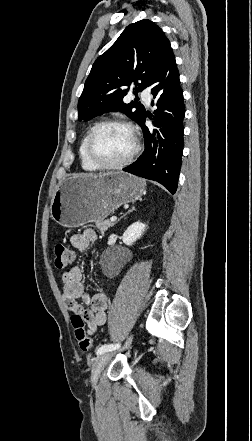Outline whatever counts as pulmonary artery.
<instances>
[{
	"label": "pulmonary artery",
	"instance_id": "e3ab8cb5",
	"mask_svg": "<svg viewBox=\"0 0 252 441\" xmlns=\"http://www.w3.org/2000/svg\"><path fill=\"white\" fill-rule=\"evenodd\" d=\"M141 96L147 105L150 104L151 94L148 90H143Z\"/></svg>",
	"mask_w": 252,
	"mask_h": 441
}]
</instances>
